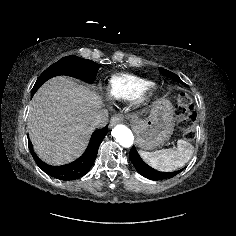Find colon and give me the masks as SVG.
<instances>
[{
	"mask_svg": "<svg viewBox=\"0 0 236 236\" xmlns=\"http://www.w3.org/2000/svg\"><path fill=\"white\" fill-rule=\"evenodd\" d=\"M178 123L185 138H194L195 113L192 111V100L186 93H181L176 104Z\"/></svg>",
	"mask_w": 236,
	"mask_h": 236,
	"instance_id": "5ec220e1",
	"label": "colon"
}]
</instances>
